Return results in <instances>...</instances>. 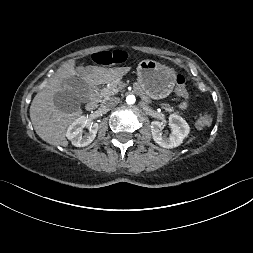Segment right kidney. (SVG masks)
I'll list each match as a JSON object with an SVG mask.
<instances>
[{"instance_id": "1", "label": "right kidney", "mask_w": 253, "mask_h": 253, "mask_svg": "<svg viewBox=\"0 0 253 253\" xmlns=\"http://www.w3.org/2000/svg\"><path fill=\"white\" fill-rule=\"evenodd\" d=\"M85 127L88 128V133L83 135L82 133ZM98 128V123H90L85 116H81L69 125L66 137L74 146L85 147L95 139Z\"/></svg>"}]
</instances>
